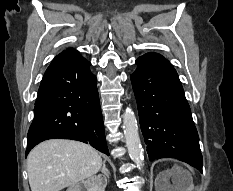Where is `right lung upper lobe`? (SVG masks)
Segmentation results:
<instances>
[{
  "label": "right lung upper lobe",
  "mask_w": 233,
  "mask_h": 191,
  "mask_svg": "<svg viewBox=\"0 0 233 191\" xmlns=\"http://www.w3.org/2000/svg\"><path fill=\"white\" fill-rule=\"evenodd\" d=\"M73 56L78 57V56H81V55H79L78 51L73 50V49H69L67 51H64V52L60 53L58 56H56L54 58V60L59 59V58H63V57H73Z\"/></svg>",
  "instance_id": "obj_1"
}]
</instances>
